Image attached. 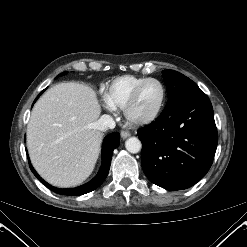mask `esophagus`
<instances>
[{
	"label": "esophagus",
	"instance_id": "34e87169",
	"mask_svg": "<svg viewBox=\"0 0 247 247\" xmlns=\"http://www.w3.org/2000/svg\"><path fill=\"white\" fill-rule=\"evenodd\" d=\"M130 135H131V134H130L129 132H127V131H122V132H121V137H122L123 139L128 138Z\"/></svg>",
	"mask_w": 247,
	"mask_h": 247
}]
</instances>
